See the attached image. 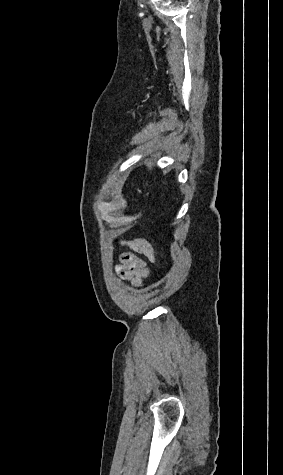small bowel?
Segmentation results:
<instances>
[{
  "label": "small bowel",
  "mask_w": 283,
  "mask_h": 475,
  "mask_svg": "<svg viewBox=\"0 0 283 475\" xmlns=\"http://www.w3.org/2000/svg\"><path fill=\"white\" fill-rule=\"evenodd\" d=\"M132 252H124L120 255L119 264L116 266L118 277L122 281L129 282L134 287H141L150 270L144 256L150 263L156 262V255L152 245L145 239H136L129 242Z\"/></svg>",
  "instance_id": "c3829d8e"
}]
</instances>
